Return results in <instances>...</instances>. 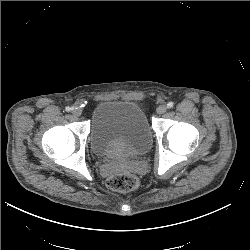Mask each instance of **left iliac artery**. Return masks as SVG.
Segmentation results:
<instances>
[{
  "instance_id": "1",
  "label": "left iliac artery",
  "mask_w": 250,
  "mask_h": 250,
  "mask_svg": "<svg viewBox=\"0 0 250 250\" xmlns=\"http://www.w3.org/2000/svg\"><path fill=\"white\" fill-rule=\"evenodd\" d=\"M174 106V103L172 101L168 102L167 108L171 109Z\"/></svg>"
}]
</instances>
